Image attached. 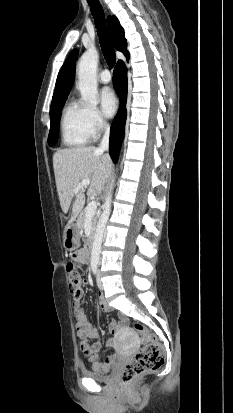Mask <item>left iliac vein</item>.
<instances>
[{"instance_id":"4c4485c4","label":"left iliac vein","mask_w":233,"mask_h":413,"mask_svg":"<svg viewBox=\"0 0 233 413\" xmlns=\"http://www.w3.org/2000/svg\"><path fill=\"white\" fill-rule=\"evenodd\" d=\"M97 285H98V288H99L100 290H103V283H102V281H101V273H100V271H98V274H97Z\"/></svg>"}]
</instances>
